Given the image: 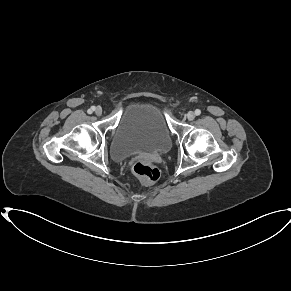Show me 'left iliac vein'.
Returning <instances> with one entry per match:
<instances>
[{"instance_id": "4c4485c4", "label": "left iliac vein", "mask_w": 291, "mask_h": 291, "mask_svg": "<svg viewBox=\"0 0 291 291\" xmlns=\"http://www.w3.org/2000/svg\"><path fill=\"white\" fill-rule=\"evenodd\" d=\"M195 118L194 112L190 111L187 113V119L188 120H193Z\"/></svg>"}]
</instances>
